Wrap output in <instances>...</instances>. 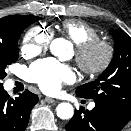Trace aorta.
Returning a JSON list of instances; mask_svg holds the SVG:
<instances>
[{
	"label": "aorta",
	"instance_id": "aorta-1",
	"mask_svg": "<svg viewBox=\"0 0 131 131\" xmlns=\"http://www.w3.org/2000/svg\"><path fill=\"white\" fill-rule=\"evenodd\" d=\"M50 51L54 56L62 58L67 52V41L58 38L50 44ZM57 116L60 119H70L74 114L73 106L70 103H60L56 108Z\"/></svg>",
	"mask_w": 131,
	"mask_h": 131
}]
</instances>
